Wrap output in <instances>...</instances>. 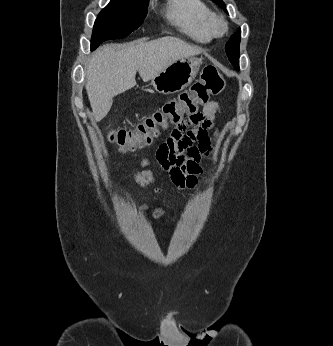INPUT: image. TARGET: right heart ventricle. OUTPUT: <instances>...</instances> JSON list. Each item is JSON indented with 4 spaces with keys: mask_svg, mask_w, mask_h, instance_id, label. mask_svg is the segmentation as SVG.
Listing matches in <instances>:
<instances>
[{
    "mask_svg": "<svg viewBox=\"0 0 333 346\" xmlns=\"http://www.w3.org/2000/svg\"><path fill=\"white\" fill-rule=\"evenodd\" d=\"M166 16L195 41L208 42L213 37L211 22L215 15L204 0H168Z\"/></svg>",
    "mask_w": 333,
    "mask_h": 346,
    "instance_id": "e07e8e85",
    "label": "right heart ventricle"
}]
</instances>
